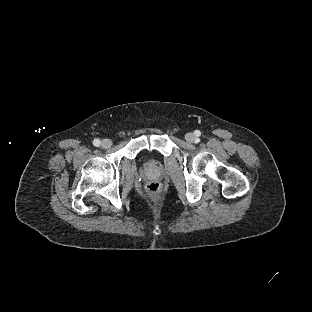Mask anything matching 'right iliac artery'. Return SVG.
Instances as JSON below:
<instances>
[{"mask_svg": "<svg viewBox=\"0 0 312 312\" xmlns=\"http://www.w3.org/2000/svg\"><path fill=\"white\" fill-rule=\"evenodd\" d=\"M94 146H99L100 145V140L99 139H94L93 141Z\"/></svg>", "mask_w": 312, "mask_h": 312, "instance_id": "1", "label": "right iliac artery"}]
</instances>
